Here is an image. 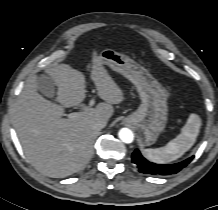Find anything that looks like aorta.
Instances as JSON below:
<instances>
[{"mask_svg":"<svg viewBox=\"0 0 218 210\" xmlns=\"http://www.w3.org/2000/svg\"><path fill=\"white\" fill-rule=\"evenodd\" d=\"M118 136L124 143H127V144L132 143L134 140V134L128 128H122L119 131Z\"/></svg>","mask_w":218,"mask_h":210,"instance_id":"obj_1","label":"aorta"}]
</instances>
